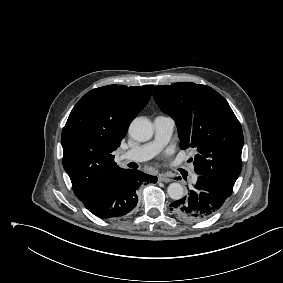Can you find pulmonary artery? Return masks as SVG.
Here are the masks:
<instances>
[{"mask_svg": "<svg viewBox=\"0 0 283 283\" xmlns=\"http://www.w3.org/2000/svg\"><path fill=\"white\" fill-rule=\"evenodd\" d=\"M175 121L169 116H157L154 119L155 136L146 144L128 150L121 155L123 161L143 162L154 157L170 140Z\"/></svg>", "mask_w": 283, "mask_h": 283, "instance_id": "obj_1", "label": "pulmonary artery"}]
</instances>
